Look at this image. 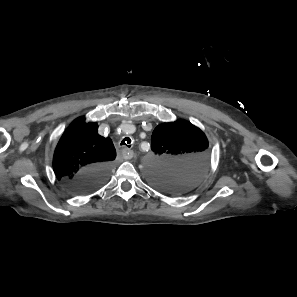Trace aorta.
<instances>
[{"mask_svg":"<svg viewBox=\"0 0 297 297\" xmlns=\"http://www.w3.org/2000/svg\"><path fill=\"white\" fill-rule=\"evenodd\" d=\"M153 172H154V169H151V170L148 172V175L150 176Z\"/></svg>","mask_w":297,"mask_h":297,"instance_id":"aorta-1","label":"aorta"}]
</instances>
